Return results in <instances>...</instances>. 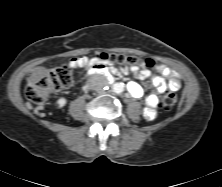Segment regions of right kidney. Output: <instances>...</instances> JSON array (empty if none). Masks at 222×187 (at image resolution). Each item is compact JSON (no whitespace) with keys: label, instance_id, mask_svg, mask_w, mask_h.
<instances>
[{"label":"right kidney","instance_id":"1","mask_svg":"<svg viewBox=\"0 0 222 187\" xmlns=\"http://www.w3.org/2000/svg\"><path fill=\"white\" fill-rule=\"evenodd\" d=\"M67 100L65 98H59L56 102V105L58 106V108H62L66 105Z\"/></svg>","mask_w":222,"mask_h":187}]
</instances>
